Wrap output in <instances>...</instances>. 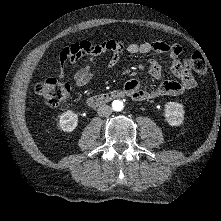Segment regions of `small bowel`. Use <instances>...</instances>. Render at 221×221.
Listing matches in <instances>:
<instances>
[{
  "label": "small bowel",
  "instance_id": "obj_1",
  "mask_svg": "<svg viewBox=\"0 0 221 221\" xmlns=\"http://www.w3.org/2000/svg\"><path fill=\"white\" fill-rule=\"evenodd\" d=\"M72 46H76L79 50V57L87 56L89 58V62L81 67L74 75L75 84L79 87L87 85L94 77V67L96 66L98 57L109 53L108 66L112 68L119 63L120 55L124 50L130 54H148L150 52L168 54L171 58L170 69L176 78V80L162 81L161 66L154 59L148 60L147 67L149 73L155 80L159 81V85L153 90H147L144 88V84L137 79L127 81L124 85V91L134 100L146 101L160 96H176L196 86V80L192 76L189 67L180 60L182 47L177 43L152 41L142 43L133 42L125 45L118 40H107L98 44L82 41L79 44L71 45L65 49Z\"/></svg>",
  "mask_w": 221,
  "mask_h": 221
}]
</instances>
